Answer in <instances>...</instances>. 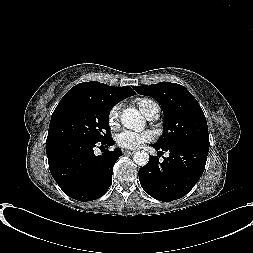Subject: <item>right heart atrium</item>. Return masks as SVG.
Here are the masks:
<instances>
[{
	"instance_id": "obj_1",
	"label": "right heart atrium",
	"mask_w": 253,
	"mask_h": 253,
	"mask_svg": "<svg viewBox=\"0 0 253 253\" xmlns=\"http://www.w3.org/2000/svg\"><path fill=\"white\" fill-rule=\"evenodd\" d=\"M120 110L121 104H116L110 109L108 114V121L111 127H114L118 123Z\"/></svg>"
}]
</instances>
